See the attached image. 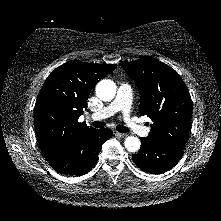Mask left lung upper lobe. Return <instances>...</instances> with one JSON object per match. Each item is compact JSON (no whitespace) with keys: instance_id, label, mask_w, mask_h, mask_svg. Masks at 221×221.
<instances>
[{"instance_id":"1","label":"left lung upper lobe","mask_w":221,"mask_h":221,"mask_svg":"<svg viewBox=\"0 0 221 221\" xmlns=\"http://www.w3.org/2000/svg\"><path fill=\"white\" fill-rule=\"evenodd\" d=\"M140 91V113L152 121L148 140L183 149L187 141L192 100L180 75L152 57L120 63Z\"/></svg>"}]
</instances>
